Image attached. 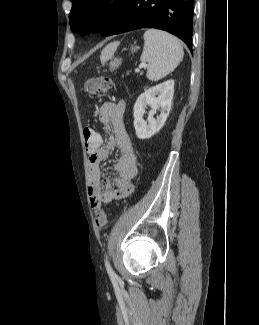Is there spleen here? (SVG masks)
I'll return each mask as SVG.
<instances>
[{
	"instance_id": "obj_1",
	"label": "spleen",
	"mask_w": 259,
	"mask_h": 325,
	"mask_svg": "<svg viewBox=\"0 0 259 325\" xmlns=\"http://www.w3.org/2000/svg\"><path fill=\"white\" fill-rule=\"evenodd\" d=\"M143 38L140 60L148 63L147 78L158 81L180 64L184 56L183 47L175 36L158 29L146 30Z\"/></svg>"
}]
</instances>
